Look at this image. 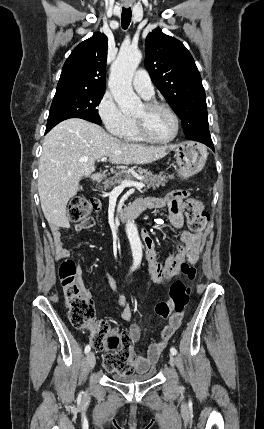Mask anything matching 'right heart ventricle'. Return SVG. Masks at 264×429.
Masks as SVG:
<instances>
[{
  "instance_id": "right-heart-ventricle-1",
  "label": "right heart ventricle",
  "mask_w": 264,
  "mask_h": 429,
  "mask_svg": "<svg viewBox=\"0 0 264 429\" xmlns=\"http://www.w3.org/2000/svg\"><path fill=\"white\" fill-rule=\"evenodd\" d=\"M120 137L128 142H139L142 140L138 135L134 119L130 118V122L127 129Z\"/></svg>"
}]
</instances>
